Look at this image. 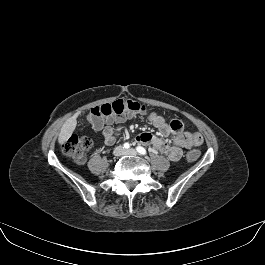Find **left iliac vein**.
<instances>
[{
	"mask_svg": "<svg viewBox=\"0 0 265 265\" xmlns=\"http://www.w3.org/2000/svg\"><path fill=\"white\" fill-rule=\"evenodd\" d=\"M125 154L136 156L138 153L135 149H128V150H125Z\"/></svg>",
	"mask_w": 265,
	"mask_h": 265,
	"instance_id": "4c4485c4",
	"label": "left iliac vein"
}]
</instances>
